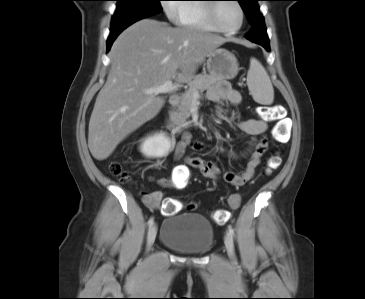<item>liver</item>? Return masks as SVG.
Here are the masks:
<instances>
[{
    "instance_id": "6515ba94",
    "label": "liver",
    "mask_w": 365,
    "mask_h": 299,
    "mask_svg": "<svg viewBox=\"0 0 365 299\" xmlns=\"http://www.w3.org/2000/svg\"><path fill=\"white\" fill-rule=\"evenodd\" d=\"M229 39L152 19L123 31L110 51L111 67L89 121L88 147L107 159L118 144L162 109L165 100L145 90L166 81L189 83L208 54Z\"/></svg>"
}]
</instances>
